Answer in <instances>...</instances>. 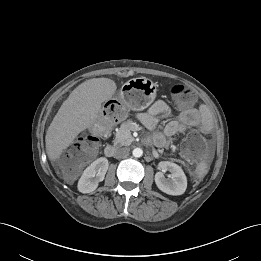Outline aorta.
I'll return each mask as SVG.
<instances>
[{"label": "aorta", "instance_id": "1", "mask_svg": "<svg viewBox=\"0 0 261 261\" xmlns=\"http://www.w3.org/2000/svg\"><path fill=\"white\" fill-rule=\"evenodd\" d=\"M132 154L134 157H141L143 154V150L141 148H135L133 149Z\"/></svg>", "mask_w": 261, "mask_h": 261}]
</instances>
